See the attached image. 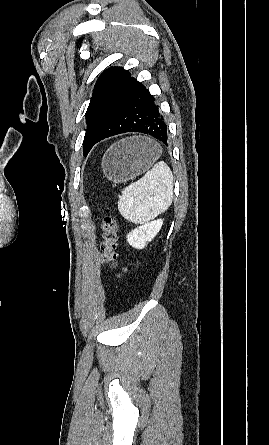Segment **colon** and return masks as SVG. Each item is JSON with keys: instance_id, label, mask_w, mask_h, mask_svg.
I'll list each match as a JSON object with an SVG mask.
<instances>
[{"instance_id": "1", "label": "colon", "mask_w": 269, "mask_h": 445, "mask_svg": "<svg viewBox=\"0 0 269 445\" xmlns=\"http://www.w3.org/2000/svg\"><path fill=\"white\" fill-rule=\"evenodd\" d=\"M101 229L103 232V240L101 242V251L103 262L108 265L111 270L117 271V276L122 278L126 273V268H118L117 264V244H118V224L117 221L105 216L101 221Z\"/></svg>"}]
</instances>
